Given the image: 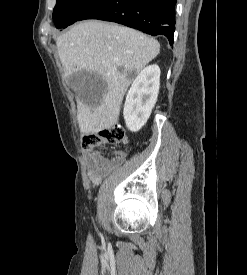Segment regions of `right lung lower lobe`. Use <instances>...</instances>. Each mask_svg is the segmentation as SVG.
Wrapping results in <instances>:
<instances>
[{"instance_id":"98d812e1","label":"right lung lower lobe","mask_w":247,"mask_h":275,"mask_svg":"<svg viewBox=\"0 0 247 275\" xmlns=\"http://www.w3.org/2000/svg\"><path fill=\"white\" fill-rule=\"evenodd\" d=\"M176 0H98L78 21H112L156 36L164 35L173 44Z\"/></svg>"}]
</instances>
